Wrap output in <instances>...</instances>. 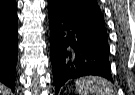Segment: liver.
<instances>
[{
    "instance_id": "obj_1",
    "label": "liver",
    "mask_w": 135,
    "mask_h": 95,
    "mask_svg": "<svg viewBox=\"0 0 135 95\" xmlns=\"http://www.w3.org/2000/svg\"><path fill=\"white\" fill-rule=\"evenodd\" d=\"M0 95H10V90L4 85L0 84Z\"/></svg>"
}]
</instances>
